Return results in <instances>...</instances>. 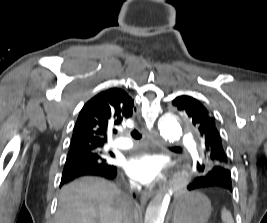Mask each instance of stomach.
<instances>
[{"mask_svg":"<svg viewBox=\"0 0 267 223\" xmlns=\"http://www.w3.org/2000/svg\"><path fill=\"white\" fill-rule=\"evenodd\" d=\"M210 200L200 192L179 196L172 214V223H207L211 215Z\"/></svg>","mask_w":267,"mask_h":223,"instance_id":"1","label":"stomach"}]
</instances>
